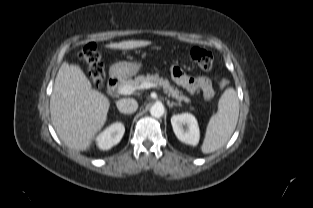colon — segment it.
Returning <instances> with one entry per match:
<instances>
[{
	"label": "colon",
	"instance_id": "5ec220e1",
	"mask_svg": "<svg viewBox=\"0 0 313 208\" xmlns=\"http://www.w3.org/2000/svg\"><path fill=\"white\" fill-rule=\"evenodd\" d=\"M191 59L204 70H208L213 64L212 53L202 47H194L190 50ZM80 58L83 59L89 70V75L92 79L93 84L96 87H101L105 78V67L97 47L93 43L87 44L79 54ZM216 82L219 87L223 88L228 85L229 80L224 75L220 74L217 76Z\"/></svg>",
	"mask_w": 313,
	"mask_h": 208
}]
</instances>
